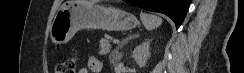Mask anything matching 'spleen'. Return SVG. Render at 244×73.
Masks as SVG:
<instances>
[{"label":"spleen","mask_w":244,"mask_h":73,"mask_svg":"<svg viewBox=\"0 0 244 73\" xmlns=\"http://www.w3.org/2000/svg\"><path fill=\"white\" fill-rule=\"evenodd\" d=\"M140 19L144 27L149 31L158 28L162 24V19L159 16L153 14L141 12Z\"/></svg>","instance_id":"1"}]
</instances>
